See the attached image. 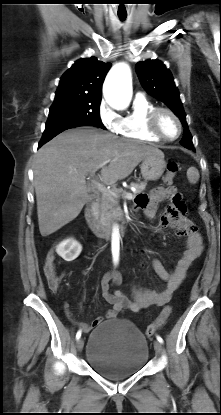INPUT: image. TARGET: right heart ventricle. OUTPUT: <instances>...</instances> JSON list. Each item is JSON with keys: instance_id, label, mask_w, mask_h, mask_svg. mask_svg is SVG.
I'll return each mask as SVG.
<instances>
[{"instance_id": "e07e8e85", "label": "right heart ventricle", "mask_w": 221, "mask_h": 415, "mask_svg": "<svg viewBox=\"0 0 221 415\" xmlns=\"http://www.w3.org/2000/svg\"><path fill=\"white\" fill-rule=\"evenodd\" d=\"M156 106L143 95L136 96L132 110L120 119L118 133L126 138L145 142H159L160 139L151 134L147 128V116Z\"/></svg>"}]
</instances>
